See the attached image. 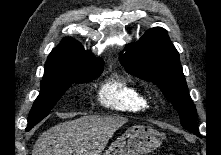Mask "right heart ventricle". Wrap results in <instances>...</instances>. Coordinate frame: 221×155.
I'll list each match as a JSON object with an SVG mask.
<instances>
[{"instance_id":"right-heart-ventricle-1","label":"right heart ventricle","mask_w":221,"mask_h":155,"mask_svg":"<svg viewBox=\"0 0 221 155\" xmlns=\"http://www.w3.org/2000/svg\"><path fill=\"white\" fill-rule=\"evenodd\" d=\"M98 99L103 106L114 110L142 112L149 108L144 91L122 77H112L105 82L99 90Z\"/></svg>"}]
</instances>
